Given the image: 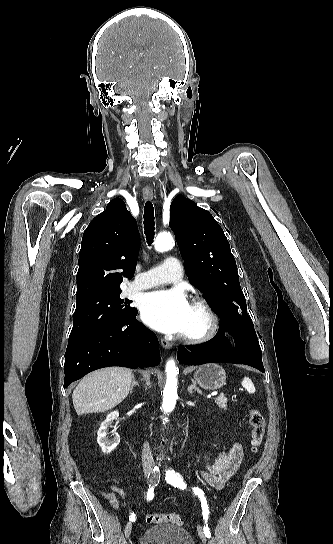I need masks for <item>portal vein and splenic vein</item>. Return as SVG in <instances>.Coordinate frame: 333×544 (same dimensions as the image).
<instances>
[{"label": "portal vein and splenic vein", "mask_w": 333, "mask_h": 544, "mask_svg": "<svg viewBox=\"0 0 333 544\" xmlns=\"http://www.w3.org/2000/svg\"><path fill=\"white\" fill-rule=\"evenodd\" d=\"M212 396H216L217 395V392H213L211 393Z\"/></svg>", "instance_id": "18ae733b"}]
</instances>
